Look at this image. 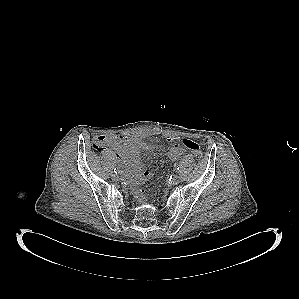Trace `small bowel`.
Masks as SVG:
<instances>
[{
  "mask_svg": "<svg viewBox=\"0 0 299 299\" xmlns=\"http://www.w3.org/2000/svg\"><path fill=\"white\" fill-rule=\"evenodd\" d=\"M106 146L114 148L117 158L124 166L125 176L133 184H140L152 177V172L143 169L139 159L140 150L151 148V143L138 137L117 135L109 136ZM185 151L183 146L176 144L168 150L167 157L169 160L174 161L181 157ZM161 170H165L164 164H162Z\"/></svg>",
  "mask_w": 299,
  "mask_h": 299,
  "instance_id": "1",
  "label": "small bowel"
}]
</instances>
